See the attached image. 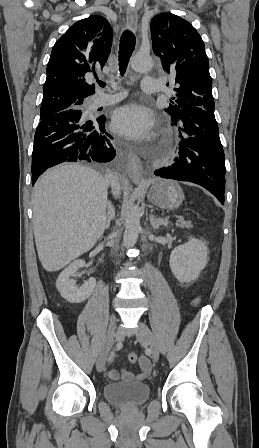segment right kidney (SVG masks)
Returning <instances> with one entry per match:
<instances>
[{
	"instance_id": "right-kidney-1",
	"label": "right kidney",
	"mask_w": 259,
	"mask_h": 448,
	"mask_svg": "<svg viewBox=\"0 0 259 448\" xmlns=\"http://www.w3.org/2000/svg\"><path fill=\"white\" fill-rule=\"evenodd\" d=\"M84 266V260H75V262H72L70 266H67V268L61 272L56 280V288L59 294H61L64 300L71 302V304H80V302L87 300L96 286L95 278H90V280L84 282L80 288L79 286H76L75 280H70V276L76 274L77 270H79V268H84Z\"/></svg>"
}]
</instances>
